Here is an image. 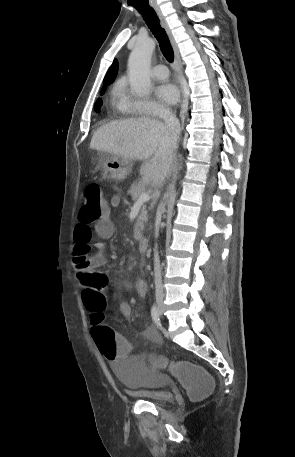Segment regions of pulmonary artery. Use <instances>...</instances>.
Segmentation results:
<instances>
[{
  "label": "pulmonary artery",
  "mask_w": 295,
  "mask_h": 457,
  "mask_svg": "<svg viewBox=\"0 0 295 457\" xmlns=\"http://www.w3.org/2000/svg\"><path fill=\"white\" fill-rule=\"evenodd\" d=\"M152 75L156 79L163 80L169 76V71L165 65L159 64L152 68Z\"/></svg>",
  "instance_id": "1"
}]
</instances>
